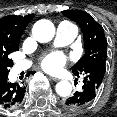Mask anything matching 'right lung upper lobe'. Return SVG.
Instances as JSON below:
<instances>
[{
  "label": "right lung upper lobe",
  "mask_w": 117,
  "mask_h": 117,
  "mask_svg": "<svg viewBox=\"0 0 117 117\" xmlns=\"http://www.w3.org/2000/svg\"><path fill=\"white\" fill-rule=\"evenodd\" d=\"M34 14L27 16H5L0 19V58L19 49L20 37L33 19ZM4 76L0 74V79Z\"/></svg>",
  "instance_id": "1"
}]
</instances>
